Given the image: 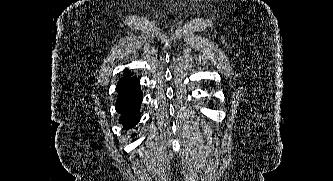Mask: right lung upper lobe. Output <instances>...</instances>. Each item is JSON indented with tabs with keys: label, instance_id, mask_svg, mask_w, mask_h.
Returning a JSON list of instances; mask_svg holds the SVG:
<instances>
[{
	"label": "right lung upper lobe",
	"instance_id": "1",
	"mask_svg": "<svg viewBox=\"0 0 333 181\" xmlns=\"http://www.w3.org/2000/svg\"><path fill=\"white\" fill-rule=\"evenodd\" d=\"M132 76L129 70H125L123 77L119 80V82L124 81Z\"/></svg>",
	"mask_w": 333,
	"mask_h": 181
}]
</instances>
